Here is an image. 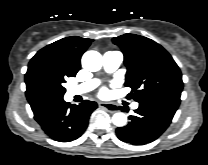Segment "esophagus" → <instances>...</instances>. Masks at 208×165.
<instances>
[{"label":"esophagus","instance_id":"esophagus-1","mask_svg":"<svg viewBox=\"0 0 208 165\" xmlns=\"http://www.w3.org/2000/svg\"><path fill=\"white\" fill-rule=\"evenodd\" d=\"M98 105L111 113L117 112V106L112 103L99 102Z\"/></svg>","mask_w":208,"mask_h":165}]
</instances>
